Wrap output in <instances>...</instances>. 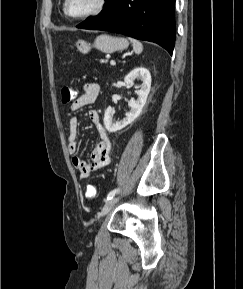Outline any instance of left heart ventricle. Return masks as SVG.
<instances>
[{
	"label": "left heart ventricle",
	"instance_id": "1",
	"mask_svg": "<svg viewBox=\"0 0 243 289\" xmlns=\"http://www.w3.org/2000/svg\"><path fill=\"white\" fill-rule=\"evenodd\" d=\"M98 0H70L69 12L72 15H82L93 10Z\"/></svg>",
	"mask_w": 243,
	"mask_h": 289
}]
</instances>
